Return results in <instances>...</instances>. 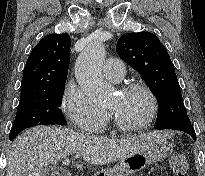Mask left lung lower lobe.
<instances>
[{
    "label": "left lung lower lobe",
    "instance_id": "1",
    "mask_svg": "<svg viewBox=\"0 0 205 176\" xmlns=\"http://www.w3.org/2000/svg\"><path fill=\"white\" fill-rule=\"evenodd\" d=\"M171 129H175V130H180V131H184L186 133H188L189 135H191L192 138L196 139V135H195V131L194 128L192 127V125H185V126H177Z\"/></svg>",
    "mask_w": 205,
    "mask_h": 176
}]
</instances>
